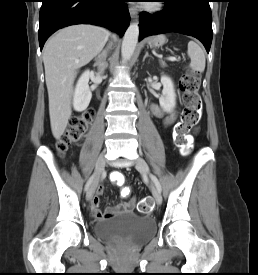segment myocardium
Here are the masks:
<instances>
[{"label":"myocardium","instance_id":"myocardium-1","mask_svg":"<svg viewBox=\"0 0 258 275\" xmlns=\"http://www.w3.org/2000/svg\"><path fill=\"white\" fill-rule=\"evenodd\" d=\"M154 3H150L146 5V9L149 11H158L163 7V3H161L162 1H153Z\"/></svg>","mask_w":258,"mask_h":275}]
</instances>
